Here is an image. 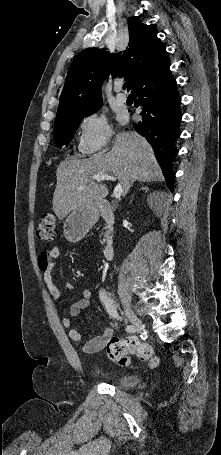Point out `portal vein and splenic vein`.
<instances>
[{"mask_svg":"<svg viewBox=\"0 0 221 455\" xmlns=\"http://www.w3.org/2000/svg\"><path fill=\"white\" fill-rule=\"evenodd\" d=\"M93 180L96 181H103V180H110V181H115L116 178L114 176H111L109 174H95L92 176ZM123 193V188L121 184H117L114 188L113 196L116 199H119Z\"/></svg>","mask_w":221,"mask_h":455,"instance_id":"18ae733b","label":"portal vein and splenic vein"}]
</instances>
